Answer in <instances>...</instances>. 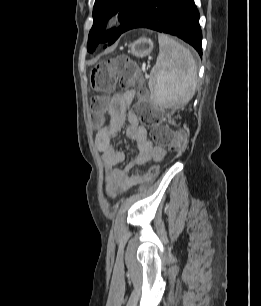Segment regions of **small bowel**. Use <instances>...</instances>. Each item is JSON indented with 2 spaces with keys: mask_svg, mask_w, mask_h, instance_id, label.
<instances>
[{
  "mask_svg": "<svg viewBox=\"0 0 261 306\" xmlns=\"http://www.w3.org/2000/svg\"><path fill=\"white\" fill-rule=\"evenodd\" d=\"M134 101V94L123 92L113 95L108 104V124L97 134L96 145L102 153L103 162L108 169V192L110 195L119 189H127L138 180L133 169L150 160H161L165 151L163 148L154 146L148 137V130L141 125L135 112L129 111ZM126 124V136L137 147V153L122 169L116 168L125 161L123 150L117 149L113 139L121 128Z\"/></svg>",
  "mask_w": 261,
  "mask_h": 306,
  "instance_id": "1",
  "label": "small bowel"
}]
</instances>
